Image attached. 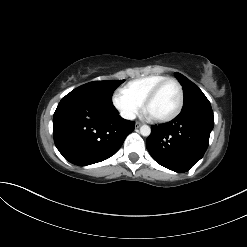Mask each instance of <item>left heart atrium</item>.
<instances>
[{"mask_svg":"<svg viewBox=\"0 0 247 247\" xmlns=\"http://www.w3.org/2000/svg\"><path fill=\"white\" fill-rule=\"evenodd\" d=\"M145 115L147 118H151V119L153 118V116L148 111H145Z\"/></svg>","mask_w":247,"mask_h":247,"instance_id":"1","label":"left heart atrium"}]
</instances>
